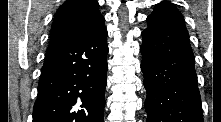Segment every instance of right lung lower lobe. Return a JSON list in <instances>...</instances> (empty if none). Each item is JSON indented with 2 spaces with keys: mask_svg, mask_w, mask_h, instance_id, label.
Instances as JSON below:
<instances>
[{
  "mask_svg": "<svg viewBox=\"0 0 221 122\" xmlns=\"http://www.w3.org/2000/svg\"><path fill=\"white\" fill-rule=\"evenodd\" d=\"M104 24L47 52L33 109V122H104L107 83Z\"/></svg>",
  "mask_w": 221,
  "mask_h": 122,
  "instance_id": "obj_1",
  "label": "right lung lower lobe"
}]
</instances>
